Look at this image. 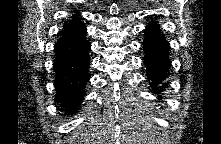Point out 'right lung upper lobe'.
<instances>
[{"label": "right lung upper lobe", "instance_id": "obj_1", "mask_svg": "<svg viewBox=\"0 0 221 144\" xmlns=\"http://www.w3.org/2000/svg\"><path fill=\"white\" fill-rule=\"evenodd\" d=\"M81 24H82V22L79 20V14H77V15L74 16L73 21H69V22L64 23V26H63L64 31L63 32L60 31L59 35L67 32V31H69V30H71V29H73V28H75V27H77Z\"/></svg>", "mask_w": 221, "mask_h": 144}]
</instances>
